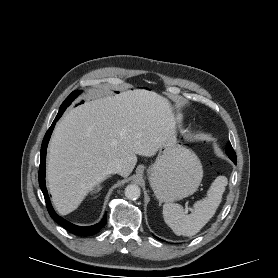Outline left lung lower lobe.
<instances>
[{
	"mask_svg": "<svg viewBox=\"0 0 278 278\" xmlns=\"http://www.w3.org/2000/svg\"><path fill=\"white\" fill-rule=\"evenodd\" d=\"M235 164L237 163V160H232ZM159 239V238H158Z\"/></svg>",
	"mask_w": 278,
	"mask_h": 278,
	"instance_id": "1",
	"label": "left lung lower lobe"
}]
</instances>
